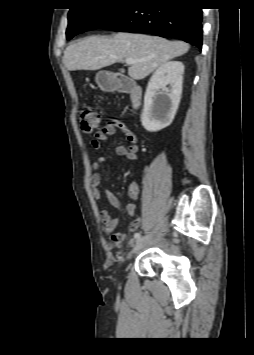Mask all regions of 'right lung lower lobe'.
I'll use <instances>...</instances> for the list:
<instances>
[{
    "mask_svg": "<svg viewBox=\"0 0 254 355\" xmlns=\"http://www.w3.org/2000/svg\"><path fill=\"white\" fill-rule=\"evenodd\" d=\"M197 0H133L102 29L150 33L202 47V8Z\"/></svg>",
    "mask_w": 254,
    "mask_h": 355,
    "instance_id": "98d812e1",
    "label": "right lung lower lobe"
}]
</instances>
